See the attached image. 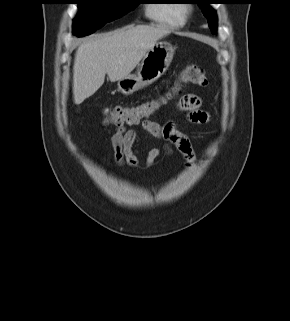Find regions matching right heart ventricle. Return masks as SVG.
I'll return each instance as SVG.
<instances>
[{
    "instance_id": "right-heart-ventricle-1",
    "label": "right heart ventricle",
    "mask_w": 290,
    "mask_h": 321,
    "mask_svg": "<svg viewBox=\"0 0 290 321\" xmlns=\"http://www.w3.org/2000/svg\"><path fill=\"white\" fill-rule=\"evenodd\" d=\"M146 14L152 21L172 28L183 27L186 22L183 7L176 3L152 4L148 6Z\"/></svg>"
}]
</instances>
